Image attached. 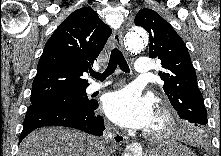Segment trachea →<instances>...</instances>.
<instances>
[{
    "mask_svg": "<svg viewBox=\"0 0 221 156\" xmlns=\"http://www.w3.org/2000/svg\"><path fill=\"white\" fill-rule=\"evenodd\" d=\"M117 66H119V68L123 72H126V73L130 72L128 63L125 60L122 52L119 49L114 48L111 51L110 60H109V63H108V66H107L106 70L102 74L98 73V72H91L90 75L92 77L102 81V80H105L112 73H114V71L116 70Z\"/></svg>",
    "mask_w": 221,
    "mask_h": 156,
    "instance_id": "obj_1",
    "label": "trachea"
}]
</instances>
